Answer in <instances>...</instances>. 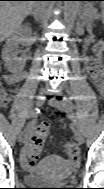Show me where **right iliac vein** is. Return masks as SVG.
<instances>
[{
    "instance_id": "right-iliac-vein-1",
    "label": "right iliac vein",
    "mask_w": 104,
    "mask_h": 189,
    "mask_svg": "<svg viewBox=\"0 0 104 189\" xmlns=\"http://www.w3.org/2000/svg\"><path fill=\"white\" fill-rule=\"evenodd\" d=\"M44 94H45V90H42L40 94L37 96L36 102H35L37 107L42 105L43 100H44ZM17 140L19 143H22L24 141L22 132L17 134Z\"/></svg>"
}]
</instances>
